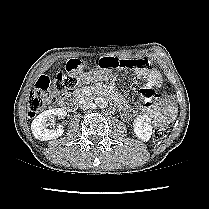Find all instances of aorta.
Segmentation results:
<instances>
[{
    "label": "aorta",
    "mask_w": 209,
    "mask_h": 209,
    "mask_svg": "<svg viewBox=\"0 0 209 209\" xmlns=\"http://www.w3.org/2000/svg\"><path fill=\"white\" fill-rule=\"evenodd\" d=\"M95 104L99 107V108H106L108 105V101L106 98L104 97H97L95 99Z\"/></svg>",
    "instance_id": "1"
}]
</instances>
